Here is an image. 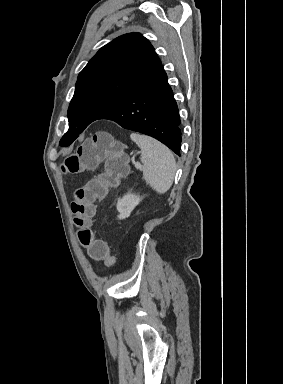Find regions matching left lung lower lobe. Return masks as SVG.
I'll return each instance as SVG.
<instances>
[{
    "mask_svg": "<svg viewBox=\"0 0 283 384\" xmlns=\"http://www.w3.org/2000/svg\"><path fill=\"white\" fill-rule=\"evenodd\" d=\"M98 119L156 138L180 155V119L173 91L160 64L119 104Z\"/></svg>",
    "mask_w": 283,
    "mask_h": 384,
    "instance_id": "1",
    "label": "left lung lower lobe"
}]
</instances>
